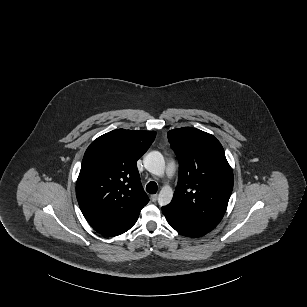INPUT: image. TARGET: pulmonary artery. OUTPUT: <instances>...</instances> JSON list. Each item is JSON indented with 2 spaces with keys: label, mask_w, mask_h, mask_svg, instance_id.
<instances>
[{
  "label": "pulmonary artery",
  "mask_w": 307,
  "mask_h": 307,
  "mask_svg": "<svg viewBox=\"0 0 307 307\" xmlns=\"http://www.w3.org/2000/svg\"><path fill=\"white\" fill-rule=\"evenodd\" d=\"M173 173H174V169H173L172 165H170L169 166V174H170V176H172Z\"/></svg>",
  "instance_id": "1"
}]
</instances>
